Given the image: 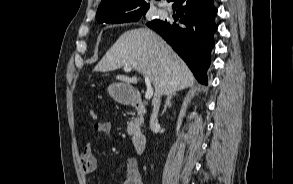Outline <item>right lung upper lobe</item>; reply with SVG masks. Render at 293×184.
Here are the masks:
<instances>
[{
    "instance_id": "1",
    "label": "right lung upper lobe",
    "mask_w": 293,
    "mask_h": 184,
    "mask_svg": "<svg viewBox=\"0 0 293 184\" xmlns=\"http://www.w3.org/2000/svg\"><path fill=\"white\" fill-rule=\"evenodd\" d=\"M148 8L146 0H102L96 19L99 23H117Z\"/></svg>"
}]
</instances>
